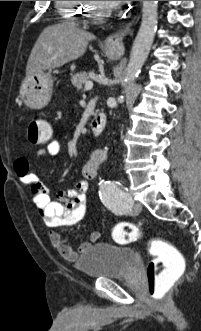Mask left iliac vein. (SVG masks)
Masks as SVG:
<instances>
[{
  "label": "left iliac vein",
  "instance_id": "left-iliac-vein-1",
  "mask_svg": "<svg viewBox=\"0 0 201 331\" xmlns=\"http://www.w3.org/2000/svg\"><path fill=\"white\" fill-rule=\"evenodd\" d=\"M142 209V205L139 202H135L132 207L134 213H139Z\"/></svg>",
  "mask_w": 201,
  "mask_h": 331
}]
</instances>
